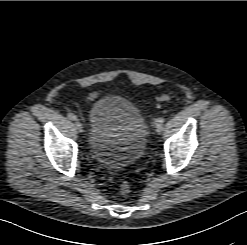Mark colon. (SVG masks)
<instances>
[{"label":"colon","mask_w":247,"mask_h":245,"mask_svg":"<svg viewBox=\"0 0 247 245\" xmlns=\"http://www.w3.org/2000/svg\"><path fill=\"white\" fill-rule=\"evenodd\" d=\"M169 99V95L165 94V95H162L159 97L158 101L159 102H164V101H167ZM131 191V187L130 185L127 183V182H123L121 185H120V192L121 194L123 195H127L129 194Z\"/></svg>","instance_id":"obj_1"}]
</instances>
